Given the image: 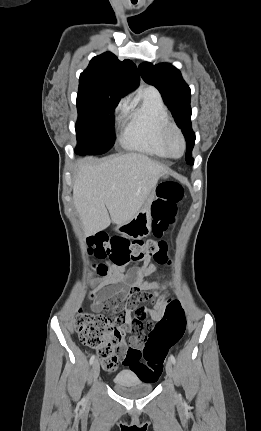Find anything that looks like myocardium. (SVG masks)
Masks as SVG:
<instances>
[{
	"instance_id": "obj_1",
	"label": "myocardium",
	"mask_w": 261,
	"mask_h": 431,
	"mask_svg": "<svg viewBox=\"0 0 261 431\" xmlns=\"http://www.w3.org/2000/svg\"><path fill=\"white\" fill-rule=\"evenodd\" d=\"M175 134L181 142V153L179 155H174L170 149V137ZM162 144L167 153L171 158L177 159L182 157L186 151V140L181 129L173 122L168 121L162 131Z\"/></svg>"
}]
</instances>
